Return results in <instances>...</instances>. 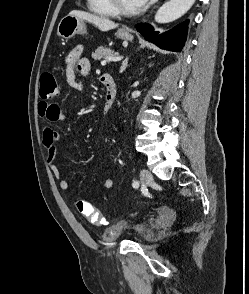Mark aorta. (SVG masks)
<instances>
[{
    "instance_id": "obj_1",
    "label": "aorta",
    "mask_w": 249,
    "mask_h": 294,
    "mask_svg": "<svg viewBox=\"0 0 249 294\" xmlns=\"http://www.w3.org/2000/svg\"><path fill=\"white\" fill-rule=\"evenodd\" d=\"M195 3V0H169L156 12L155 21L169 23L182 17Z\"/></svg>"
}]
</instances>
